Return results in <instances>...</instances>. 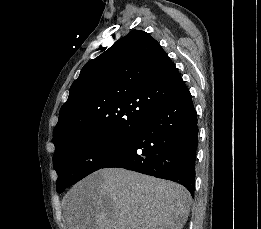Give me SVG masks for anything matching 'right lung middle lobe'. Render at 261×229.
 I'll use <instances>...</instances> for the list:
<instances>
[{"instance_id":"obj_1","label":"right lung middle lobe","mask_w":261,"mask_h":229,"mask_svg":"<svg viewBox=\"0 0 261 229\" xmlns=\"http://www.w3.org/2000/svg\"><path fill=\"white\" fill-rule=\"evenodd\" d=\"M135 134L112 136L89 133L75 136L55 148L53 165L58 174L56 189L62 193L126 150Z\"/></svg>"}]
</instances>
